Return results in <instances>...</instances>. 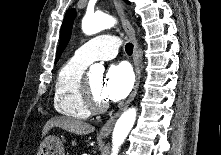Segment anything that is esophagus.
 <instances>
[{
    "label": "esophagus",
    "mask_w": 221,
    "mask_h": 155,
    "mask_svg": "<svg viewBox=\"0 0 221 155\" xmlns=\"http://www.w3.org/2000/svg\"><path fill=\"white\" fill-rule=\"evenodd\" d=\"M113 3L115 5V8H116L120 18H121L122 26L134 46V48H133V64H134L136 79H135V84H134L133 90H132L129 98L127 99V101L124 103V105H122L119 108V110L113 116H111L106 121V123L100 129L99 135L102 137H107L111 133L112 128H113L117 118L129 106V104L134 99V97L137 93L138 87H139L140 77H141V71H140V65H139L138 41H137V38L135 35V30L127 18V15L125 13L124 3L121 0H113Z\"/></svg>",
    "instance_id": "34e87169"
}]
</instances>
